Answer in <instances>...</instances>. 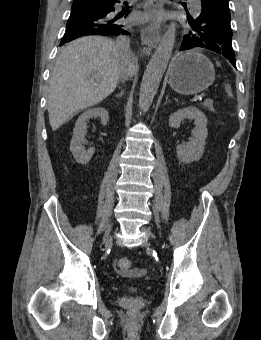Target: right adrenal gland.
I'll return each instance as SVG.
<instances>
[{
  "label": "right adrenal gland",
  "instance_id": "2a0ac1e0",
  "mask_svg": "<svg viewBox=\"0 0 261 340\" xmlns=\"http://www.w3.org/2000/svg\"><path fill=\"white\" fill-rule=\"evenodd\" d=\"M123 95V90L120 91V93L116 94V98H120Z\"/></svg>",
  "mask_w": 261,
  "mask_h": 340
}]
</instances>
